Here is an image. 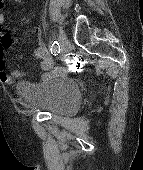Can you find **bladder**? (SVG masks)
<instances>
[{"mask_svg":"<svg viewBox=\"0 0 143 170\" xmlns=\"http://www.w3.org/2000/svg\"><path fill=\"white\" fill-rule=\"evenodd\" d=\"M16 92L25 107L62 116L75 114L82 101L78 84L66 76L35 82L21 80Z\"/></svg>","mask_w":143,"mask_h":170,"instance_id":"bladder-1","label":"bladder"}]
</instances>
